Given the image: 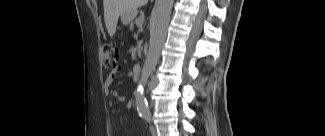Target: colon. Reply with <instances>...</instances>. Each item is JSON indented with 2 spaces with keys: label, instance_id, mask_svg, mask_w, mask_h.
<instances>
[{
  "label": "colon",
  "instance_id": "colon-1",
  "mask_svg": "<svg viewBox=\"0 0 325 136\" xmlns=\"http://www.w3.org/2000/svg\"><path fill=\"white\" fill-rule=\"evenodd\" d=\"M102 51H103L105 66L108 68L114 69L116 67L117 61H118L117 49L110 44H105L102 47Z\"/></svg>",
  "mask_w": 325,
  "mask_h": 136
}]
</instances>
